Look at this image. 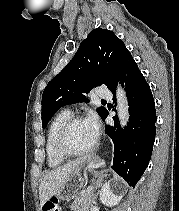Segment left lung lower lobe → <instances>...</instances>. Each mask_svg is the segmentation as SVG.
Returning <instances> with one entry per match:
<instances>
[{"instance_id":"1","label":"left lung lower lobe","mask_w":179,"mask_h":211,"mask_svg":"<svg viewBox=\"0 0 179 211\" xmlns=\"http://www.w3.org/2000/svg\"><path fill=\"white\" fill-rule=\"evenodd\" d=\"M120 81L127 92L130 118L125 130L118 126L106 125L105 130L114 142V161L112 169L135 187L143 175L152 154L155 141L156 111L148 83L136 62L129 54L123 62L118 77L110 91L115 94L116 84ZM108 115L105 112L103 121Z\"/></svg>"}]
</instances>
